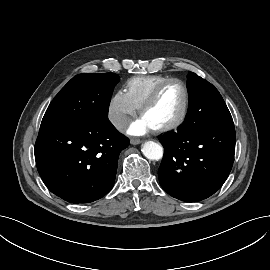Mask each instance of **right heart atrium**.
Instances as JSON below:
<instances>
[{
    "mask_svg": "<svg viewBox=\"0 0 270 270\" xmlns=\"http://www.w3.org/2000/svg\"><path fill=\"white\" fill-rule=\"evenodd\" d=\"M137 109L132 104L127 94L118 90L111 96L107 118L110 124L117 130L122 131L129 123L130 119L136 114Z\"/></svg>",
    "mask_w": 270,
    "mask_h": 270,
    "instance_id": "right-heart-atrium-1",
    "label": "right heart atrium"
}]
</instances>
